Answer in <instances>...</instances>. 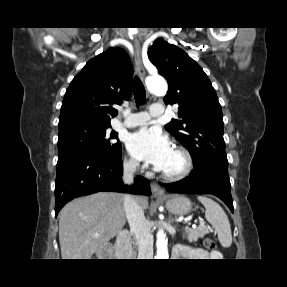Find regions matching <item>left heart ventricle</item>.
I'll return each instance as SVG.
<instances>
[{
    "label": "left heart ventricle",
    "instance_id": "b2bd125f",
    "mask_svg": "<svg viewBox=\"0 0 287 287\" xmlns=\"http://www.w3.org/2000/svg\"><path fill=\"white\" fill-rule=\"evenodd\" d=\"M183 165L184 160L182 156L178 152L172 150L162 171L169 173L177 172L182 169Z\"/></svg>",
    "mask_w": 287,
    "mask_h": 287
}]
</instances>
